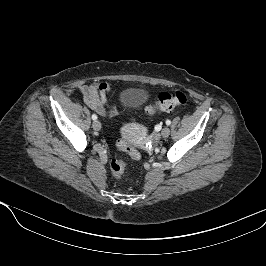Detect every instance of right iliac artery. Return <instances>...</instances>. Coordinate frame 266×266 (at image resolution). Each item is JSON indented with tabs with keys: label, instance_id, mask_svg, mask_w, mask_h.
<instances>
[{
	"label": "right iliac artery",
	"instance_id": "1",
	"mask_svg": "<svg viewBox=\"0 0 266 266\" xmlns=\"http://www.w3.org/2000/svg\"><path fill=\"white\" fill-rule=\"evenodd\" d=\"M93 120H97V116L95 114L92 115Z\"/></svg>",
	"mask_w": 266,
	"mask_h": 266
}]
</instances>
